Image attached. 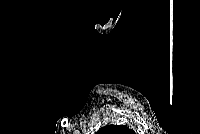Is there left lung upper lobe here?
Returning a JSON list of instances; mask_svg holds the SVG:
<instances>
[{
    "instance_id": "left-lung-upper-lobe-1",
    "label": "left lung upper lobe",
    "mask_w": 200,
    "mask_h": 134,
    "mask_svg": "<svg viewBox=\"0 0 200 134\" xmlns=\"http://www.w3.org/2000/svg\"><path fill=\"white\" fill-rule=\"evenodd\" d=\"M135 132L123 125H107L102 127L96 134H134Z\"/></svg>"
}]
</instances>
